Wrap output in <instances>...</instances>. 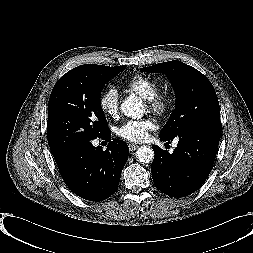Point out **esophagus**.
Returning <instances> with one entry per match:
<instances>
[{
  "instance_id": "34e87169",
  "label": "esophagus",
  "mask_w": 253,
  "mask_h": 253,
  "mask_svg": "<svg viewBox=\"0 0 253 253\" xmlns=\"http://www.w3.org/2000/svg\"><path fill=\"white\" fill-rule=\"evenodd\" d=\"M138 147H139L138 144H135V143H130V144H129V150H130L131 152L135 151Z\"/></svg>"
}]
</instances>
